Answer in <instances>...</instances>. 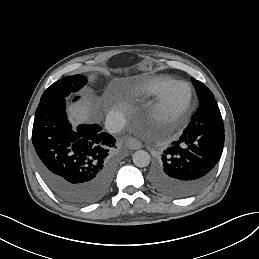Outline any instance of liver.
Returning a JSON list of instances; mask_svg holds the SVG:
<instances>
[{
    "label": "liver",
    "instance_id": "1",
    "mask_svg": "<svg viewBox=\"0 0 259 259\" xmlns=\"http://www.w3.org/2000/svg\"><path fill=\"white\" fill-rule=\"evenodd\" d=\"M75 112L80 113V109L75 110ZM73 117L76 118V116L72 113Z\"/></svg>",
    "mask_w": 259,
    "mask_h": 259
}]
</instances>
